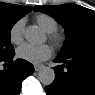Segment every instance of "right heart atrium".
Here are the masks:
<instances>
[{"mask_svg": "<svg viewBox=\"0 0 95 95\" xmlns=\"http://www.w3.org/2000/svg\"><path fill=\"white\" fill-rule=\"evenodd\" d=\"M24 19H18L9 30V38L13 44H20L23 41Z\"/></svg>", "mask_w": 95, "mask_h": 95, "instance_id": "right-heart-atrium-1", "label": "right heart atrium"}]
</instances>
